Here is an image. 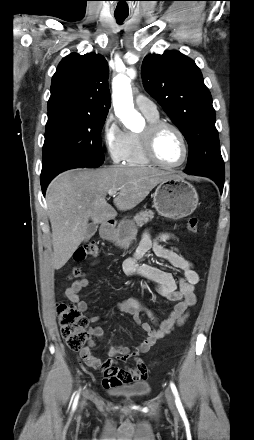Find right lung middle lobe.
Listing matches in <instances>:
<instances>
[{
  "label": "right lung middle lobe",
  "mask_w": 254,
  "mask_h": 440,
  "mask_svg": "<svg viewBox=\"0 0 254 440\" xmlns=\"http://www.w3.org/2000/svg\"><path fill=\"white\" fill-rule=\"evenodd\" d=\"M107 115L61 108L48 112L41 181L77 167L102 165L101 130Z\"/></svg>",
  "instance_id": "right-lung-middle-lobe-1"
}]
</instances>
